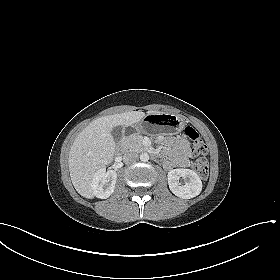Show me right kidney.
<instances>
[{"mask_svg":"<svg viewBox=\"0 0 280 280\" xmlns=\"http://www.w3.org/2000/svg\"><path fill=\"white\" fill-rule=\"evenodd\" d=\"M116 180L117 173L114 170L99 169L92 179L91 187L94 196L100 199L108 198L114 192Z\"/></svg>","mask_w":280,"mask_h":280,"instance_id":"1","label":"right kidney"}]
</instances>
